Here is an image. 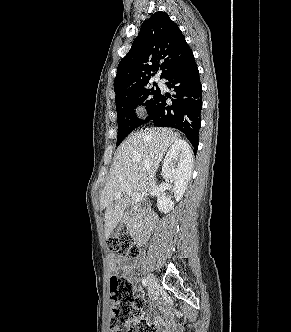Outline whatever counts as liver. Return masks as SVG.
<instances>
[{
	"label": "liver",
	"mask_w": 291,
	"mask_h": 332,
	"mask_svg": "<svg viewBox=\"0 0 291 332\" xmlns=\"http://www.w3.org/2000/svg\"><path fill=\"white\" fill-rule=\"evenodd\" d=\"M179 134L168 128H150L130 134L118 147L109 179L101 193L100 205L105 209L104 228L108 238L124 215L129 199L124 184L142 199L149 195V180L155 177L163 156ZM192 154V152H191ZM119 196V198H117ZM144 199V200H145Z\"/></svg>",
	"instance_id": "liver-1"
}]
</instances>
